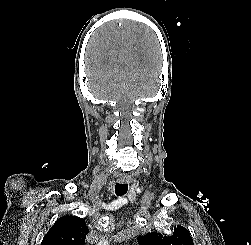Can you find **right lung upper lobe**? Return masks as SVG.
I'll return each mask as SVG.
<instances>
[{
  "instance_id": "obj_1",
  "label": "right lung upper lobe",
  "mask_w": 251,
  "mask_h": 245,
  "mask_svg": "<svg viewBox=\"0 0 251 245\" xmlns=\"http://www.w3.org/2000/svg\"><path fill=\"white\" fill-rule=\"evenodd\" d=\"M88 232L82 218L64 216L59 218L50 228L41 245H84Z\"/></svg>"
}]
</instances>
